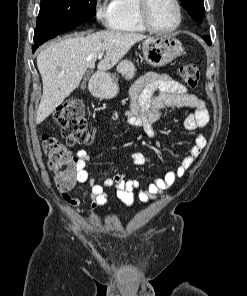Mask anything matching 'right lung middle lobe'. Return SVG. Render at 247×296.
<instances>
[{
	"mask_svg": "<svg viewBox=\"0 0 247 296\" xmlns=\"http://www.w3.org/2000/svg\"><path fill=\"white\" fill-rule=\"evenodd\" d=\"M95 7L96 0H41L34 46L89 21Z\"/></svg>",
	"mask_w": 247,
	"mask_h": 296,
	"instance_id": "obj_1",
	"label": "right lung middle lobe"
}]
</instances>
